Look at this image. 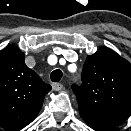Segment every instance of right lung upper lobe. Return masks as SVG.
<instances>
[{
  "label": "right lung upper lobe",
  "instance_id": "cb5924a9",
  "mask_svg": "<svg viewBox=\"0 0 131 131\" xmlns=\"http://www.w3.org/2000/svg\"><path fill=\"white\" fill-rule=\"evenodd\" d=\"M24 53L15 46L0 52V127L17 131L39 113L51 86L24 62Z\"/></svg>",
  "mask_w": 131,
  "mask_h": 131
}]
</instances>
